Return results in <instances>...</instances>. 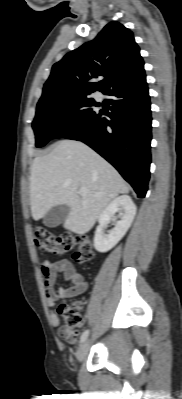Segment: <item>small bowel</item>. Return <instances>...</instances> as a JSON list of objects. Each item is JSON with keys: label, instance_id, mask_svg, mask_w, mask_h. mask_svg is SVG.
Wrapping results in <instances>:
<instances>
[{"label": "small bowel", "instance_id": "obj_1", "mask_svg": "<svg viewBox=\"0 0 182 399\" xmlns=\"http://www.w3.org/2000/svg\"><path fill=\"white\" fill-rule=\"evenodd\" d=\"M59 274H62L64 280L71 284L69 287L60 286L54 288ZM41 275L45 286L46 301L49 307H54L57 301L61 299L83 294L88 287L84 277L77 272L75 266L68 259H60L57 261L45 259L41 267ZM51 320L54 326L59 327L58 333L62 339L70 344L76 342L80 335L79 330L75 331V339H69L66 336L63 327H60L61 320L55 312L52 313Z\"/></svg>", "mask_w": 182, "mask_h": 399}]
</instances>
